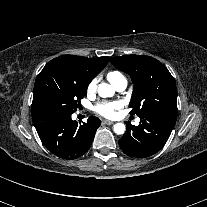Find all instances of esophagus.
<instances>
[{
  "mask_svg": "<svg viewBox=\"0 0 207 207\" xmlns=\"http://www.w3.org/2000/svg\"><path fill=\"white\" fill-rule=\"evenodd\" d=\"M103 123L106 124V125H112L114 124L113 121H110V120H103Z\"/></svg>",
  "mask_w": 207,
  "mask_h": 207,
  "instance_id": "34e87169",
  "label": "esophagus"
}]
</instances>
